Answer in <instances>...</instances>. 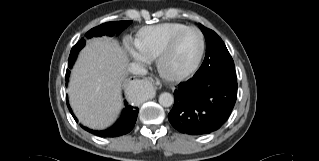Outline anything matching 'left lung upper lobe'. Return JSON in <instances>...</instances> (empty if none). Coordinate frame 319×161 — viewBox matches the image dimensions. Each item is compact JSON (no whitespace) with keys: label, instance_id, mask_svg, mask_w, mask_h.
Returning <instances> with one entry per match:
<instances>
[{"label":"left lung upper lobe","instance_id":"5c2ea615","mask_svg":"<svg viewBox=\"0 0 319 161\" xmlns=\"http://www.w3.org/2000/svg\"><path fill=\"white\" fill-rule=\"evenodd\" d=\"M206 39L205 59L195 76L221 74L236 79L233 59L222 39L212 30L198 24Z\"/></svg>","mask_w":319,"mask_h":161}]
</instances>
